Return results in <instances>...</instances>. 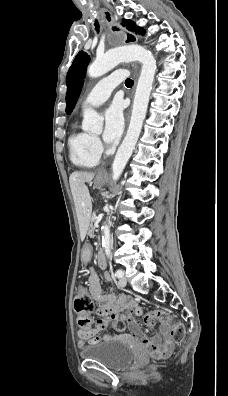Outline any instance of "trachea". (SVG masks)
Listing matches in <instances>:
<instances>
[{"label": "trachea", "mask_w": 228, "mask_h": 396, "mask_svg": "<svg viewBox=\"0 0 228 396\" xmlns=\"http://www.w3.org/2000/svg\"><path fill=\"white\" fill-rule=\"evenodd\" d=\"M94 25H95V30L98 32V31H99V23H98V20H95ZM125 85H126V86H131V85H133V80H131V79H126Z\"/></svg>", "instance_id": "3493384b"}]
</instances>
